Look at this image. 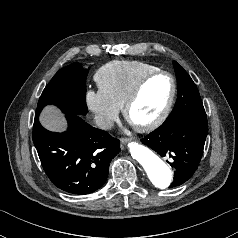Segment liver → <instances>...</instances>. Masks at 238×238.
<instances>
[{
  "label": "liver",
  "instance_id": "6515ba94",
  "mask_svg": "<svg viewBox=\"0 0 238 238\" xmlns=\"http://www.w3.org/2000/svg\"><path fill=\"white\" fill-rule=\"evenodd\" d=\"M41 124L48 130L62 132L66 129L64 115L54 106H47L40 115Z\"/></svg>",
  "mask_w": 238,
  "mask_h": 238
}]
</instances>
